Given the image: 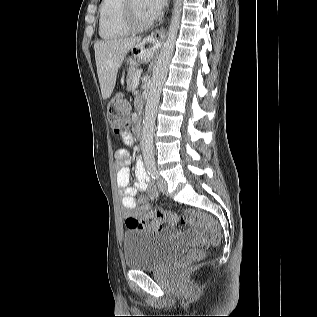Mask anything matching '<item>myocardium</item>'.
I'll use <instances>...</instances> for the list:
<instances>
[{
  "label": "myocardium",
  "mask_w": 317,
  "mask_h": 317,
  "mask_svg": "<svg viewBox=\"0 0 317 317\" xmlns=\"http://www.w3.org/2000/svg\"><path fill=\"white\" fill-rule=\"evenodd\" d=\"M121 18L123 24L131 31V32H142L149 29L154 20L150 19L146 22H139L134 14L132 0H123L121 5Z\"/></svg>",
  "instance_id": "obj_1"
}]
</instances>
